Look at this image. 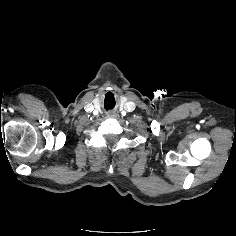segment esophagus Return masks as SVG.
Returning a JSON list of instances; mask_svg holds the SVG:
<instances>
[{"label":"esophagus","mask_w":236,"mask_h":236,"mask_svg":"<svg viewBox=\"0 0 236 236\" xmlns=\"http://www.w3.org/2000/svg\"><path fill=\"white\" fill-rule=\"evenodd\" d=\"M115 116H116V115H115V114H112V113H111V114H108V117H109V118H112V117H115Z\"/></svg>","instance_id":"esophagus-1"}]
</instances>
